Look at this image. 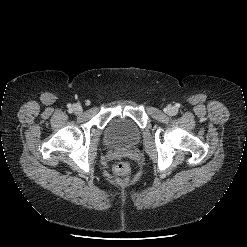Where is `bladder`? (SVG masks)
Returning <instances> with one entry per match:
<instances>
[{
	"instance_id": "31cf9c89",
	"label": "bladder",
	"mask_w": 247,
	"mask_h": 247,
	"mask_svg": "<svg viewBox=\"0 0 247 247\" xmlns=\"http://www.w3.org/2000/svg\"><path fill=\"white\" fill-rule=\"evenodd\" d=\"M140 129L130 119L115 118L107 126L105 142L114 147H130L140 140Z\"/></svg>"
}]
</instances>
